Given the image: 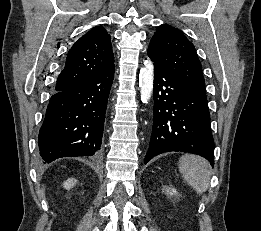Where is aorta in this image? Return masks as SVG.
Returning <instances> with one entry per match:
<instances>
[{
    "instance_id": "1",
    "label": "aorta",
    "mask_w": 261,
    "mask_h": 231,
    "mask_svg": "<svg viewBox=\"0 0 261 231\" xmlns=\"http://www.w3.org/2000/svg\"><path fill=\"white\" fill-rule=\"evenodd\" d=\"M154 80V65L153 62L147 60L144 62V67L140 70L139 74V87L141 92V101L145 104L151 98L153 91Z\"/></svg>"
}]
</instances>
